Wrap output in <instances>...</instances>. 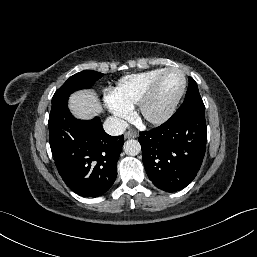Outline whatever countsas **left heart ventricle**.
I'll return each mask as SVG.
<instances>
[{
  "mask_svg": "<svg viewBox=\"0 0 257 257\" xmlns=\"http://www.w3.org/2000/svg\"><path fill=\"white\" fill-rule=\"evenodd\" d=\"M183 79L178 72L167 73L158 88L156 96L150 107L151 114H157L168 106L179 94Z\"/></svg>",
  "mask_w": 257,
  "mask_h": 257,
  "instance_id": "left-heart-ventricle-1",
  "label": "left heart ventricle"
}]
</instances>
